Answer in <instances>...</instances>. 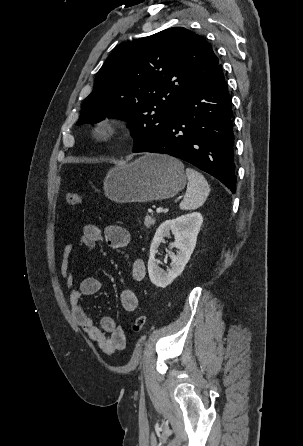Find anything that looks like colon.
I'll return each instance as SVG.
<instances>
[{"label": "colon", "mask_w": 303, "mask_h": 446, "mask_svg": "<svg viewBox=\"0 0 303 446\" xmlns=\"http://www.w3.org/2000/svg\"><path fill=\"white\" fill-rule=\"evenodd\" d=\"M66 201L69 205L71 206H81L83 205V200L80 197V195L76 192H69L66 195ZM146 324V316L144 315H140L138 316L133 324H132V329L134 332L139 333L143 330V328L145 327Z\"/></svg>", "instance_id": "colon-1"}]
</instances>
